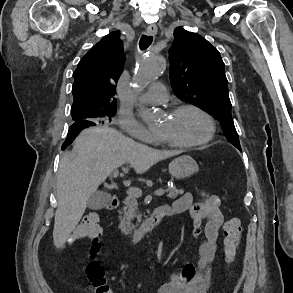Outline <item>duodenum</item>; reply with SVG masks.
Masks as SVG:
<instances>
[{
    "label": "duodenum",
    "instance_id": "1",
    "mask_svg": "<svg viewBox=\"0 0 293 293\" xmlns=\"http://www.w3.org/2000/svg\"><path fill=\"white\" fill-rule=\"evenodd\" d=\"M120 205V198L114 194L110 197L107 208L114 210ZM178 214V210L172 206H158L155 207L145 222L138 228L131 231L127 240L131 245H135L138 240L148 231L154 229L160 221L167 215Z\"/></svg>",
    "mask_w": 293,
    "mask_h": 293
}]
</instances>
